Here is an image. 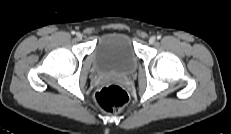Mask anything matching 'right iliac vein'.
Instances as JSON below:
<instances>
[{
	"mask_svg": "<svg viewBox=\"0 0 231 134\" xmlns=\"http://www.w3.org/2000/svg\"><path fill=\"white\" fill-rule=\"evenodd\" d=\"M76 37L78 40H81L83 36L81 33L78 32V33H76Z\"/></svg>",
	"mask_w": 231,
	"mask_h": 134,
	"instance_id": "right-iliac-vein-1",
	"label": "right iliac vein"
}]
</instances>
